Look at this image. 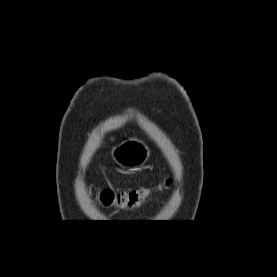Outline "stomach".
Here are the masks:
<instances>
[{
    "label": "stomach",
    "mask_w": 277,
    "mask_h": 277,
    "mask_svg": "<svg viewBox=\"0 0 277 277\" xmlns=\"http://www.w3.org/2000/svg\"><path fill=\"white\" fill-rule=\"evenodd\" d=\"M111 155L121 167L136 169L143 166L148 160L150 150L142 140L130 138L115 147Z\"/></svg>",
    "instance_id": "1"
}]
</instances>
